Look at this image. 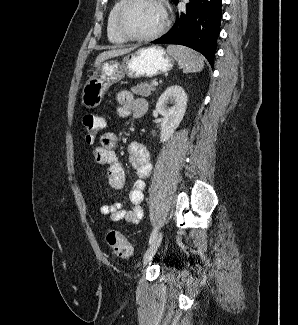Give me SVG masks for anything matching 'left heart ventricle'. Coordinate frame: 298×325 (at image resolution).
Returning <instances> with one entry per match:
<instances>
[{"label": "left heart ventricle", "instance_id": "left-heart-ventricle-1", "mask_svg": "<svg viewBox=\"0 0 298 325\" xmlns=\"http://www.w3.org/2000/svg\"><path fill=\"white\" fill-rule=\"evenodd\" d=\"M163 17L158 7L146 0L131 5L122 19V26L133 36L144 37L157 30Z\"/></svg>", "mask_w": 298, "mask_h": 325}]
</instances>
